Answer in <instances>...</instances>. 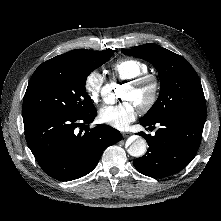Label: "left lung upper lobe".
Listing matches in <instances>:
<instances>
[{"label":"left lung upper lobe","mask_w":221,"mask_h":221,"mask_svg":"<svg viewBox=\"0 0 221 221\" xmlns=\"http://www.w3.org/2000/svg\"><path fill=\"white\" fill-rule=\"evenodd\" d=\"M122 52L150 62L159 72V97L142 119L176 116L206 120V103L200 79L182 56L154 43Z\"/></svg>","instance_id":"left-lung-upper-lobe-1"}]
</instances>
